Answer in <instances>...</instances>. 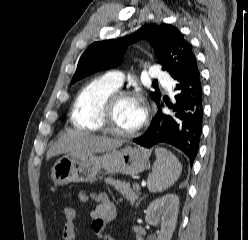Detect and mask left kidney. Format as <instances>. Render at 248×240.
Returning a JSON list of instances; mask_svg holds the SVG:
<instances>
[{
    "label": "left kidney",
    "mask_w": 248,
    "mask_h": 240,
    "mask_svg": "<svg viewBox=\"0 0 248 240\" xmlns=\"http://www.w3.org/2000/svg\"><path fill=\"white\" fill-rule=\"evenodd\" d=\"M179 210V197L168 194L150 203L145 221L150 225L161 223L157 240H171L176 227Z\"/></svg>",
    "instance_id": "obj_1"
}]
</instances>
